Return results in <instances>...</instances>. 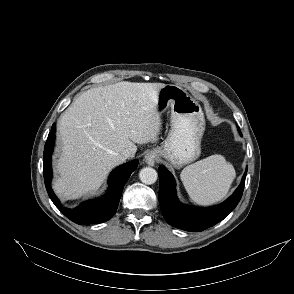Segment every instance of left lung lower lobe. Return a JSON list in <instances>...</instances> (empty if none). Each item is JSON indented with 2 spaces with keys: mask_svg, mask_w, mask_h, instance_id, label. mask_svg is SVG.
I'll list each match as a JSON object with an SVG mask.
<instances>
[{
  "mask_svg": "<svg viewBox=\"0 0 294 294\" xmlns=\"http://www.w3.org/2000/svg\"><path fill=\"white\" fill-rule=\"evenodd\" d=\"M239 133L242 135L240 130ZM246 174L247 169L240 185L226 201L213 207L196 208L183 205L178 201L173 176L166 168L160 166L158 168L159 202L166 222L176 228L191 232H200L217 224L227 217L239 203L244 190Z\"/></svg>",
  "mask_w": 294,
  "mask_h": 294,
  "instance_id": "obj_1",
  "label": "left lung lower lobe"
}]
</instances>
